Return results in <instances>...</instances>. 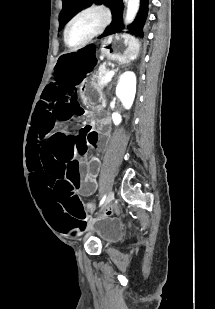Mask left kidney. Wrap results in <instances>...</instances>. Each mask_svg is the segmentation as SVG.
I'll use <instances>...</instances> for the list:
<instances>
[{"label": "left kidney", "instance_id": "obj_1", "mask_svg": "<svg viewBox=\"0 0 215 309\" xmlns=\"http://www.w3.org/2000/svg\"><path fill=\"white\" fill-rule=\"evenodd\" d=\"M136 92V76L132 70H126L119 78L116 86V96L120 98L125 108H131ZM112 120L114 124H120L122 120L119 112H112Z\"/></svg>", "mask_w": 215, "mask_h": 309}]
</instances>
